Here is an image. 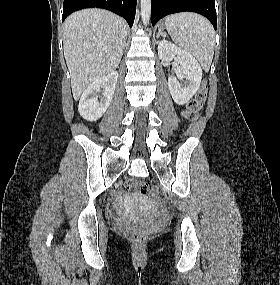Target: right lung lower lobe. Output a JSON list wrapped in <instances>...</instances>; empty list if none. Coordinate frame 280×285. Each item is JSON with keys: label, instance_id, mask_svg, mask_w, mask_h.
Listing matches in <instances>:
<instances>
[{"label": "right lung lower lobe", "instance_id": "obj_1", "mask_svg": "<svg viewBox=\"0 0 280 285\" xmlns=\"http://www.w3.org/2000/svg\"><path fill=\"white\" fill-rule=\"evenodd\" d=\"M137 0H64L62 21L72 12L84 8H103L110 10L123 18L132 27Z\"/></svg>", "mask_w": 280, "mask_h": 285}]
</instances>
